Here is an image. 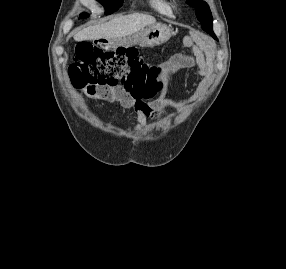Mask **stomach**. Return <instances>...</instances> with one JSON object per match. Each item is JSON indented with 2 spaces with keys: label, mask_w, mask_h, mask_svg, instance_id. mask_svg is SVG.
<instances>
[{
  "label": "stomach",
  "mask_w": 286,
  "mask_h": 269,
  "mask_svg": "<svg viewBox=\"0 0 286 269\" xmlns=\"http://www.w3.org/2000/svg\"><path fill=\"white\" fill-rule=\"evenodd\" d=\"M171 37L170 28L161 23L146 26L136 33L118 39H111L108 44L113 46L115 44L133 45L137 44L142 47H153L165 43Z\"/></svg>",
  "instance_id": "0dacf381"
}]
</instances>
